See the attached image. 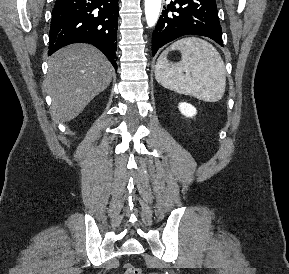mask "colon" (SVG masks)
Masks as SVG:
<instances>
[{
  "instance_id": "5ec220e1",
  "label": "colon",
  "mask_w": 289,
  "mask_h": 274,
  "mask_svg": "<svg viewBox=\"0 0 289 274\" xmlns=\"http://www.w3.org/2000/svg\"><path fill=\"white\" fill-rule=\"evenodd\" d=\"M124 274H142V271L137 266H134L132 264H126Z\"/></svg>"
}]
</instances>
